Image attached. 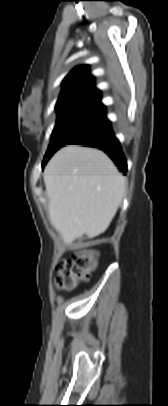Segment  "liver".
Returning a JSON list of instances; mask_svg holds the SVG:
<instances>
[{
	"label": "liver",
	"instance_id": "6515ba94",
	"mask_svg": "<svg viewBox=\"0 0 168 406\" xmlns=\"http://www.w3.org/2000/svg\"><path fill=\"white\" fill-rule=\"evenodd\" d=\"M49 217L65 244L106 231L125 193V178L100 150L70 145L44 170Z\"/></svg>",
	"mask_w": 168,
	"mask_h": 406
}]
</instances>
